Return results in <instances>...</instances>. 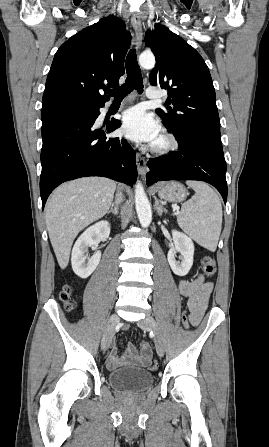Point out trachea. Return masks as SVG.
Returning a JSON list of instances; mask_svg holds the SVG:
<instances>
[{
    "mask_svg": "<svg viewBox=\"0 0 269 447\" xmlns=\"http://www.w3.org/2000/svg\"><path fill=\"white\" fill-rule=\"evenodd\" d=\"M126 81L121 87L114 90H107L106 93L115 98V100H122L132 90H137L140 94L143 92V80L140 67L137 63L136 50L133 48L127 55L126 59Z\"/></svg>",
    "mask_w": 269,
    "mask_h": 447,
    "instance_id": "obj_1",
    "label": "trachea"
}]
</instances>
